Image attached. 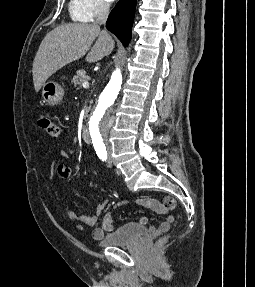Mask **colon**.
Segmentation results:
<instances>
[{
    "instance_id": "colon-1",
    "label": "colon",
    "mask_w": 255,
    "mask_h": 287,
    "mask_svg": "<svg viewBox=\"0 0 255 287\" xmlns=\"http://www.w3.org/2000/svg\"><path fill=\"white\" fill-rule=\"evenodd\" d=\"M38 125L52 137H57L60 134V127L47 114H41L38 117ZM166 237L160 240L159 244L166 241Z\"/></svg>"
}]
</instances>
